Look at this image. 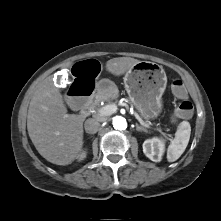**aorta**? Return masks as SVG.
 Here are the masks:
<instances>
[{"instance_id": "obj_1", "label": "aorta", "mask_w": 221, "mask_h": 221, "mask_svg": "<svg viewBox=\"0 0 221 221\" xmlns=\"http://www.w3.org/2000/svg\"><path fill=\"white\" fill-rule=\"evenodd\" d=\"M112 123L115 129L125 130L127 128L126 119L121 116H115Z\"/></svg>"}]
</instances>
